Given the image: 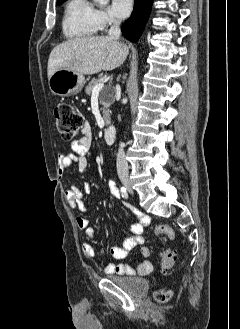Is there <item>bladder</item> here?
Masks as SVG:
<instances>
[{"instance_id": "obj_1", "label": "bladder", "mask_w": 240, "mask_h": 329, "mask_svg": "<svg viewBox=\"0 0 240 329\" xmlns=\"http://www.w3.org/2000/svg\"><path fill=\"white\" fill-rule=\"evenodd\" d=\"M111 280L119 287L134 294L145 293L149 289V282L145 278L120 276L111 277Z\"/></svg>"}]
</instances>
